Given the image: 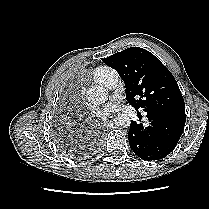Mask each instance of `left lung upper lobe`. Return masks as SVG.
I'll return each mask as SVG.
<instances>
[{
    "label": "left lung upper lobe",
    "instance_id": "obj_1",
    "mask_svg": "<svg viewBox=\"0 0 209 209\" xmlns=\"http://www.w3.org/2000/svg\"><path fill=\"white\" fill-rule=\"evenodd\" d=\"M125 82L127 101L136 110L185 115V103L170 71L151 52L131 47L104 58Z\"/></svg>",
    "mask_w": 209,
    "mask_h": 209
}]
</instances>
